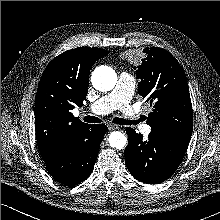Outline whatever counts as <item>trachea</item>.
<instances>
[{
  "label": "trachea",
  "mask_w": 220,
  "mask_h": 220,
  "mask_svg": "<svg viewBox=\"0 0 220 220\" xmlns=\"http://www.w3.org/2000/svg\"><path fill=\"white\" fill-rule=\"evenodd\" d=\"M85 122H88V123H100L102 122L101 119L95 117V116H86L84 117L83 119ZM113 123L115 124H119V125H132V124H137L138 121H129V120H126V119H123V118H118V117H115L112 121Z\"/></svg>",
  "instance_id": "1"
}]
</instances>
